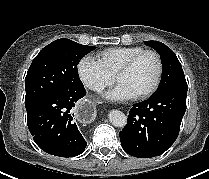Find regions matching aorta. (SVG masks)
I'll use <instances>...</instances> for the list:
<instances>
[{
  "label": "aorta",
  "instance_id": "762f6f07",
  "mask_svg": "<svg viewBox=\"0 0 209 179\" xmlns=\"http://www.w3.org/2000/svg\"><path fill=\"white\" fill-rule=\"evenodd\" d=\"M109 120L116 127H124L127 124V117L119 110H111L109 112Z\"/></svg>",
  "mask_w": 209,
  "mask_h": 179
}]
</instances>
